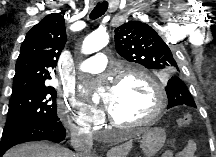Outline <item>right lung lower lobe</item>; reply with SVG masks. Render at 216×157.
Returning <instances> with one entry per match:
<instances>
[{
    "instance_id": "1",
    "label": "right lung lower lobe",
    "mask_w": 216,
    "mask_h": 157,
    "mask_svg": "<svg viewBox=\"0 0 216 157\" xmlns=\"http://www.w3.org/2000/svg\"><path fill=\"white\" fill-rule=\"evenodd\" d=\"M66 130L60 121L36 123L25 128L2 135L0 157L12 146L23 142L36 140H50L59 142L64 140Z\"/></svg>"
}]
</instances>
